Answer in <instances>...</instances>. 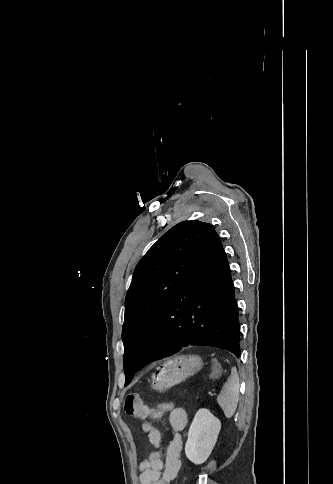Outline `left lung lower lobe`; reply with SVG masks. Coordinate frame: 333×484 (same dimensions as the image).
Here are the masks:
<instances>
[{
	"mask_svg": "<svg viewBox=\"0 0 333 484\" xmlns=\"http://www.w3.org/2000/svg\"><path fill=\"white\" fill-rule=\"evenodd\" d=\"M239 343L231 271L221 240L211 227L162 305L141 350L140 365L190 345L226 349L238 358Z\"/></svg>",
	"mask_w": 333,
	"mask_h": 484,
	"instance_id": "obj_1",
	"label": "left lung lower lobe"
}]
</instances>
